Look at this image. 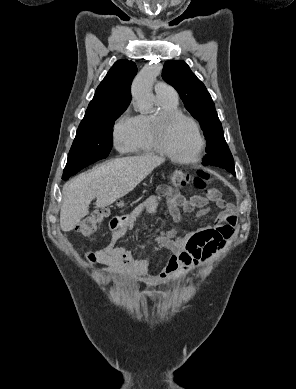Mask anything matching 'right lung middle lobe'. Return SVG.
<instances>
[{
  "label": "right lung middle lobe",
  "mask_w": 296,
  "mask_h": 389,
  "mask_svg": "<svg viewBox=\"0 0 296 389\" xmlns=\"http://www.w3.org/2000/svg\"><path fill=\"white\" fill-rule=\"evenodd\" d=\"M126 108H114L81 121L63 173L78 172L108 156L112 148L114 122Z\"/></svg>",
  "instance_id": "1"
}]
</instances>
